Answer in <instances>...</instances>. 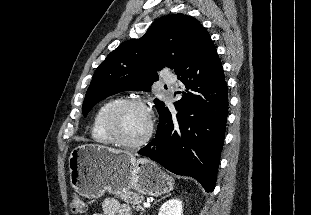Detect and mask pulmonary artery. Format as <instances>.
<instances>
[{
  "mask_svg": "<svg viewBox=\"0 0 311 215\" xmlns=\"http://www.w3.org/2000/svg\"><path fill=\"white\" fill-rule=\"evenodd\" d=\"M163 81L167 84H174L176 82V78L170 73H165L163 76Z\"/></svg>",
  "mask_w": 311,
  "mask_h": 215,
  "instance_id": "obj_1",
  "label": "pulmonary artery"
}]
</instances>
